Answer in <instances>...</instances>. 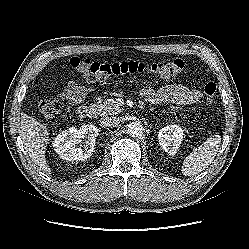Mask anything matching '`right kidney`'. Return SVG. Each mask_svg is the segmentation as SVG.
Wrapping results in <instances>:
<instances>
[{
    "mask_svg": "<svg viewBox=\"0 0 249 249\" xmlns=\"http://www.w3.org/2000/svg\"><path fill=\"white\" fill-rule=\"evenodd\" d=\"M98 135V128L92 124L84 125L79 130L72 127L62 131L55 138L53 146L59 157L65 161L85 160L93 154ZM81 139H85L83 149L76 148Z\"/></svg>",
    "mask_w": 249,
    "mask_h": 249,
    "instance_id": "obj_1",
    "label": "right kidney"
}]
</instances>
